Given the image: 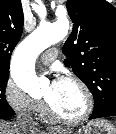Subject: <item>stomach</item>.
I'll return each mask as SVG.
<instances>
[{"instance_id": "obj_1", "label": "stomach", "mask_w": 116, "mask_h": 134, "mask_svg": "<svg viewBox=\"0 0 116 134\" xmlns=\"http://www.w3.org/2000/svg\"><path fill=\"white\" fill-rule=\"evenodd\" d=\"M59 134H72L71 130H63ZM77 134H116L114 126L102 119L92 120Z\"/></svg>"}]
</instances>
